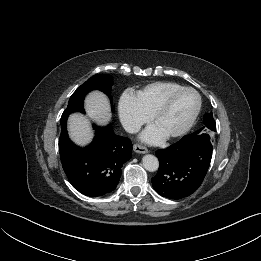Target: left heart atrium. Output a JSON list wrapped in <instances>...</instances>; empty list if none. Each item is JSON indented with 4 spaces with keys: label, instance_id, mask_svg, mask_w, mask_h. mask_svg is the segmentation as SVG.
<instances>
[{
    "label": "left heart atrium",
    "instance_id": "left-heart-atrium-1",
    "mask_svg": "<svg viewBox=\"0 0 261 261\" xmlns=\"http://www.w3.org/2000/svg\"><path fill=\"white\" fill-rule=\"evenodd\" d=\"M164 137L165 136L154 125L146 129L141 135L143 141L151 144L161 142Z\"/></svg>",
    "mask_w": 261,
    "mask_h": 261
}]
</instances>
